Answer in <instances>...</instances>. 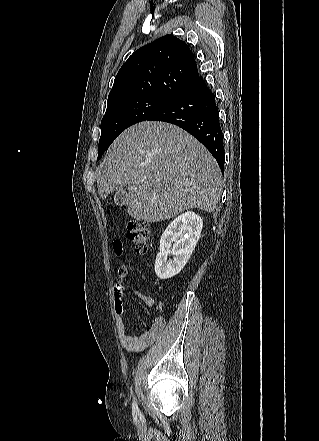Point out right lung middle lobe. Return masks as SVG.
<instances>
[{"label":"right lung middle lobe","mask_w":319,"mask_h":441,"mask_svg":"<svg viewBox=\"0 0 319 441\" xmlns=\"http://www.w3.org/2000/svg\"><path fill=\"white\" fill-rule=\"evenodd\" d=\"M170 102L169 99L145 96L107 108L101 121V137L97 160L102 157L105 150L122 131L133 124L148 120Z\"/></svg>","instance_id":"obj_1"}]
</instances>
